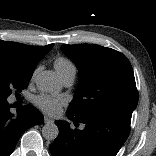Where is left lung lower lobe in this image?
Segmentation results:
<instances>
[{"label":"left lung lower lobe","mask_w":156,"mask_h":156,"mask_svg":"<svg viewBox=\"0 0 156 156\" xmlns=\"http://www.w3.org/2000/svg\"><path fill=\"white\" fill-rule=\"evenodd\" d=\"M83 130H72L66 122L56 121L59 135L50 145L52 156H115L130 132L131 119L118 113L77 117L66 113Z\"/></svg>","instance_id":"obj_1"}]
</instances>
